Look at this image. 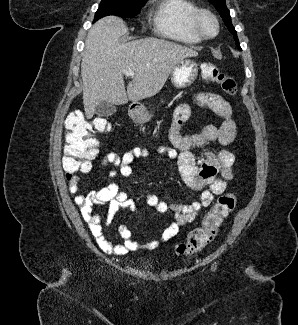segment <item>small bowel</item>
Segmentation results:
<instances>
[{
  "label": "small bowel",
  "mask_w": 298,
  "mask_h": 325,
  "mask_svg": "<svg viewBox=\"0 0 298 325\" xmlns=\"http://www.w3.org/2000/svg\"><path fill=\"white\" fill-rule=\"evenodd\" d=\"M195 99L200 106L210 109L223 121L219 126L205 125L197 134L183 135L181 127L189 118L191 110L185 104L180 105L175 110L169 130V141L172 147L159 146L156 152L168 158L176 159L184 183L191 189L201 191V196L199 200L189 205H182L168 204L159 200L155 194H149L147 202L150 206L160 213L168 211L174 213V221L159 237L141 244L132 237L131 230L128 227L121 225L118 231L122 242L112 244L106 237L105 226L109 225L123 208L135 212L137 210L135 201L121 190L120 184L116 181L87 194L78 193L79 179L74 178L69 182V190L75 195L74 201L103 252L125 255L140 248L150 250L157 248L161 243L176 236L180 227L194 221L198 212L203 207L210 205L215 196L221 195L229 182L233 180L232 167L235 157L229 150L208 151L201 158H196L191 151L193 147H202L214 142L226 147L234 141L237 127L232 117L231 105L222 96L210 92L199 93ZM149 155L150 152L147 148L135 147L122 154L107 153L101 159L100 164L102 167L112 166L113 169L109 173L110 177H115L117 174L123 177H131L133 176L132 162L136 159H146ZM104 204L108 205V209L106 215L102 217L100 213L94 210V207Z\"/></svg>",
  "instance_id": "1"
}]
</instances>
